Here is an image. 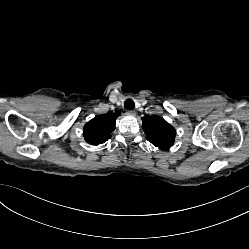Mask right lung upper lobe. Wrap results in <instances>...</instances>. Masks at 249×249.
I'll return each instance as SVG.
<instances>
[{
  "instance_id": "right-lung-upper-lobe-1",
  "label": "right lung upper lobe",
  "mask_w": 249,
  "mask_h": 249,
  "mask_svg": "<svg viewBox=\"0 0 249 249\" xmlns=\"http://www.w3.org/2000/svg\"><path fill=\"white\" fill-rule=\"evenodd\" d=\"M118 116H120V112H108L90 120L83 128L85 140L91 145L106 142L116 128L115 123Z\"/></svg>"
}]
</instances>
